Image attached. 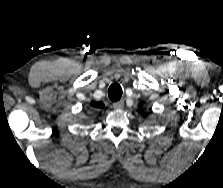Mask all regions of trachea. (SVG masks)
I'll use <instances>...</instances> for the list:
<instances>
[{"label": "trachea", "instance_id": "3493384b", "mask_svg": "<svg viewBox=\"0 0 223 188\" xmlns=\"http://www.w3.org/2000/svg\"><path fill=\"white\" fill-rule=\"evenodd\" d=\"M108 96L111 101H118L122 96V88L118 83H113L108 89Z\"/></svg>", "mask_w": 223, "mask_h": 188}]
</instances>
